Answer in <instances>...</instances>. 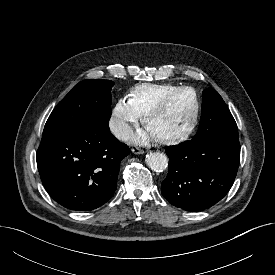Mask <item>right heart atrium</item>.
<instances>
[{
    "instance_id": "obj_1",
    "label": "right heart atrium",
    "mask_w": 275,
    "mask_h": 275,
    "mask_svg": "<svg viewBox=\"0 0 275 275\" xmlns=\"http://www.w3.org/2000/svg\"><path fill=\"white\" fill-rule=\"evenodd\" d=\"M139 120V114L132 108L127 99L122 98L117 101L112 110L110 129L118 139L124 140Z\"/></svg>"
}]
</instances>
